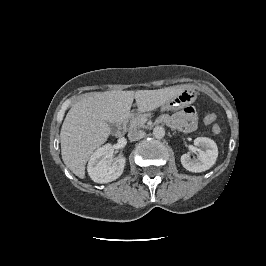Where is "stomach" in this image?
<instances>
[{
	"mask_svg": "<svg viewBox=\"0 0 266 266\" xmlns=\"http://www.w3.org/2000/svg\"><path fill=\"white\" fill-rule=\"evenodd\" d=\"M195 91L190 87H184L178 94L162 105V110L180 109L195 101Z\"/></svg>",
	"mask_w": 266,
	"mask_h": 266,
	"instance_id": "obj_1",
	"label": "stomach"
}]
</instances>
